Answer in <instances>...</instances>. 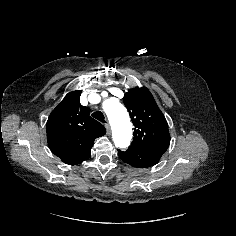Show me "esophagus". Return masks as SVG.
<instances>
[{"label": "esophagus", "instance_id": "obj_1", "mask_svg": "<svg viewBox=\"0 0 236 236\" xmlns=\"http://www.w3.org/2000/svg\"><path fill=\"white\" fill-rule=\"evenodd\" d=\"M105 128L107 130V134H110V125H109V123L105 124Z\"/></svg>", "mask_w": 236, "mask_h": 236}]
</instances>
